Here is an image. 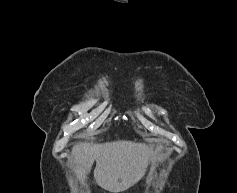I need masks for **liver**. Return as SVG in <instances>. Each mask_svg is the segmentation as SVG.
I'll use <instances>...</instances> for the list:
<instances>
[{"instance_id": "liver-1", "label": "liver", "mask_w": 237, "mask_h": 193, "mask_svg": "<svg viewBox=\"0 0 237 193\" xmlns=\"http://www.w3.org/2000/svg\"><path fill=\"white\" fill-rule=\"evenodd\" d=\"M154 156L152 146L122 140L102 144L79 143L73 147L68 159L76 165L75 172L82 183L96 161V183L109 192L118 193L142 179Z\"/></svg>"}]
</instances>
